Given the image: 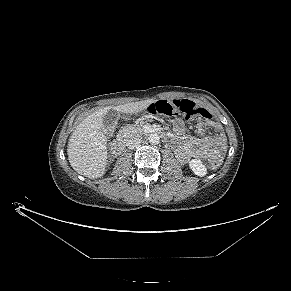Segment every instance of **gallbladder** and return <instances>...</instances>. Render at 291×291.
Returning <instances> with one entry per match:
<instances>
[{
	"label": "gallbladder",
	"instance_id": "gallbladder-1",
	"mask_svg": "<svg viewBox=\"0 0 291 291\" xmlns=\"http://www.w3.org/2000/svg\"><path fill=\"white\" fill-rule=\"evenodd\" d=\"M119 113L114 109L109 110L103 116V131L107 135H112L116 129L117 121L119 119Z\"/></svg>",
	"mask_w": 291,
	"mask_h": 291
}]
</instances>
